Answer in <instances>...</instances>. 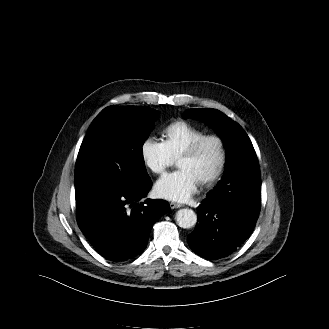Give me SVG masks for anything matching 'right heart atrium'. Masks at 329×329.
Wrapping results in <instances>:
<instances>
[{"mask_svg":"<svg viewBox=\"0 0 329 329\" xmlns=\"http://www.w3.org/2000/svg\"><path fill=\"white\" fill-rule=\"evenodd\" d=\"M140 154L145 166L155 174L164 173L174 161L164 142L152 137L142 141Z\"/></svg>","mask_w":329,"mask_h":329,"instance_id":"obj_1","label":"right heart atrium"}]
</instances>
